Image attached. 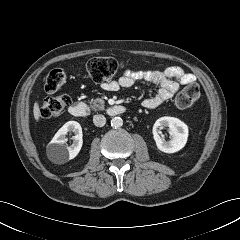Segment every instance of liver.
I'll use <instances>...</instances> for the list:
<instances>
[{"label": "liver", "mask_w": 240, "mask_h": 240, "mask_svg": "<svg viewBox=\"0 0 240 240\" xmlns=\"http://www.w3.org/2000/svg\"><path fill=\"white\" fill-rule=\"evenodd\" d=\"M33 114L35 120L38 121L40 119V108L37 102L34 104Z\"/></svg>", "instance_id": "6515ba94"}]
</instances>
